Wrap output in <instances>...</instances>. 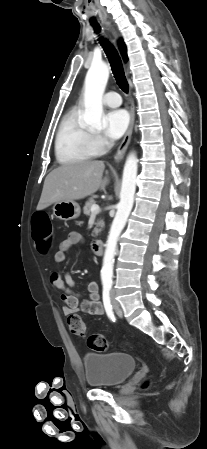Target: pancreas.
Instances as JSON below:
<instances>
[{
	"mask_svg": "<svg viewBox=\"0 0 207 449\" xmlns=\"http://www.w3.org/2000/svg\"><path fill=\"white\" fill-rule=\"evenodd\" d=\"M95 204H96L95 200L92 199V198H90V199L85 203V206H84V208H83V213H84L86 216H91V215H92L91 207H92L93 205H95ZM95 224H96V227H95L94 230H93L92 236H97V235H98V233L101 231V228L104 227V221H103V220H98ZM99 227H100V228H99Z\"/></svg>",
	"mask_w": 207,
	"mask_h": 449,
	"instance_id": "1",
	"label": "pancreas"
}]
</instances>
